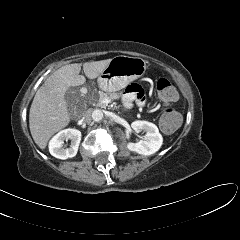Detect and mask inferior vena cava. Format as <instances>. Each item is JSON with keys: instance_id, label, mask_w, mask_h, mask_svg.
<instances>
[{"instance_id": "602c4592", "label": "inferior vena cava", "mask_w": 240, "mask_h": 240, "mask_svg": "<svg viewBox=\"0 0 240 240\" xmlns=\"http://www.w3.org/2000/svg\"><path fill=\"white\" fill-rule=\"evenodd\" d=\"M82 121L86 122V123L91 121V114L89 111H87L83 114Z\"/></svg>"}]
</instances>
